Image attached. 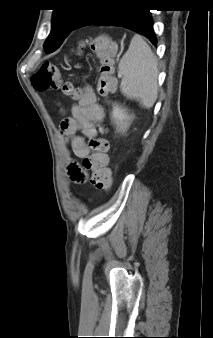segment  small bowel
<instances>
[{
  "label": "small bowel",
  "instance_id": "1",
  "mask_svg": "<svg viewBox=\"0 0 213 338\" xmlns=\"http://www.w3.org/2000/svg\"><path fill=\"white\" fill-rule=\"evenodd\" d=\"M71 113L72 119L76 122V129L72 131L61 126V132L64 138L69 141L75 157L84 158L90 153L87 139L97 135L96 123L103 115V108L97 103L96 95L92 89L86 88L80 99L72 106ZM75 166L76 164L71 165L69 171L71 167ZM72 179L82 182L86 179V175L79 172Z\"/></svg>",
  "mask_w": 213,
  "mask_h": 338
}]
</instances>
